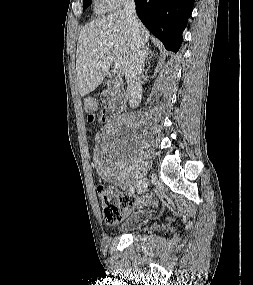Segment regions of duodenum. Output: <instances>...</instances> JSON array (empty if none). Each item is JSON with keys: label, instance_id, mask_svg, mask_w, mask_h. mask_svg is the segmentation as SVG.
<instances>
[{"label": "duodenum", "instance_id": "1", "mask_svg": "<svg viewBox=\"0 0 253 285\" xmlns=\"http://www.w3.org/2000/svg\"><path fill=\"white\" fill-rule=\"evenodd\" d=\"M108 90L104 95V100L108 102V107L106 110V115L108 118L112 119L119 112V110L124 106V100L121 97L114 98L116 86L114 83H107Z\"/></svg>", "mask_w": 253, "mask_h": 285}]
</instances>
